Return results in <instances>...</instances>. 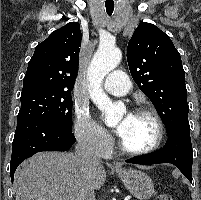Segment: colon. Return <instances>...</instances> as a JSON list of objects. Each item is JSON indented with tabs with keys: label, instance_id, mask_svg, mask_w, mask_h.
<instances>
[{
	"label": "colon",
	"instance_id": "1",
	"mask_svg": "<svg viewBox=\"0 0 201 200\" xmlns=\"http://www.w3.org/2000/svg\"><path fill=\"white\" fill-rule=\"evenodd\" d=\"M157 200H173L172 197L169 194H161Z\"/></svg>",
	"mask_w": 201,
	"mask_h": 200
}]
</instances>
